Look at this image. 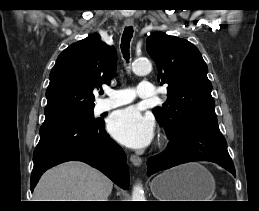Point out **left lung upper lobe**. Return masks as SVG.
I'll return each mask as SVG.
<instances>
[{
    "label": "left lung upper lobe",
    "mask_w": 259,
    "mask_h": 211,
    "mask_svg": "<svg viewBox=\"0 0 259 211\" xmlns=\"http://www.w3.org/2000/svg\"><path fill=\"white\" fill-rule=\"evenodd\" d=\"M146 47L157 65L158 82L168 84L164 107L154 108L153 113L169 139L191 126L219 130L208 68L198 48L164 32L150 35Z\"/></svg>",
    "instance_id": "5c2ea615"
}]
</instances>
